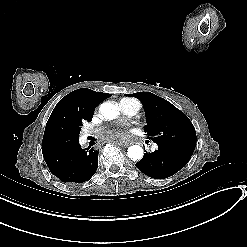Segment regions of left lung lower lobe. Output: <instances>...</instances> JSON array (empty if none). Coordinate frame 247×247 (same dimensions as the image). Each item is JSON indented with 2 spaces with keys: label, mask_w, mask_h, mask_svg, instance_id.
<instances>
[{
  "label": "left lung lower lobe",
  "mask_w": 247,
  "mask_h": 247,
  "mask_svg": "<svg viewBox=\"0 0 247 247\" xmlns=\"http://www.w3.org/2000/svg\"><path fill=\"white\" fill-rule=\"evenodd\" d=\"M193 152L174 146L158 145L152 153H145L136 167L154 179H164L177 173L190 160Z\"/></svg>",
  "instance_id": "0a47b994"
}]
</instances>
